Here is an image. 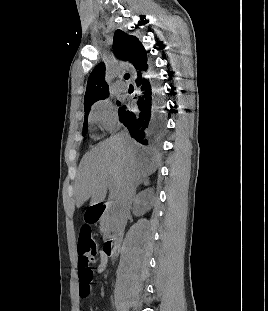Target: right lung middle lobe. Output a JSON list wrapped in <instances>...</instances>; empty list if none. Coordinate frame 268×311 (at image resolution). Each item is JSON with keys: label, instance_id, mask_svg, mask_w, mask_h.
Instances as JSON below:
<instances>
[{"label": "right lung middle lobe", "instance_id": "1", "mask_svg": "<svg viewBox=\"0 0 268 311\" xmlns=\"http://www.w3.org/2000/svg\"><path fill=\"white\" fill-rule=\"evenodd\" d=\"M117 105L120 106V102H117ZM89 110L85 112L84 124H83V135L87 132V119H88Z\"/></svg>", "mask_w": 268, "mask_h": 311}]
</instances>
